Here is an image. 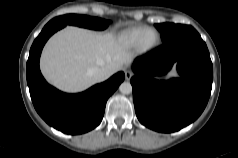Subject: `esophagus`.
<instances>
[{"label":"esophagus","mask_w":238,"mask_h":158,"mask_svg":"<svg viewBox=\"0 0 238 158\" xmlns=\"http://www.w3.org/2000/svg\"><path fill=\"white\" fill-rule=\"evenodd\" d=\"M133 76V72L131 70H125V79L130 80Z\"/></svg>","instance_id":"34e87169"}]
</instances>
